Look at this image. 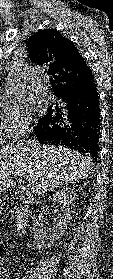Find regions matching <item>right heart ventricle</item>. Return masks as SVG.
<instances>
[{"instance_id":"e07e8e85","label":"right heart ventricle","mask_w":113,"mask_h":279,"mask_svg":"<svg viewBox=\"0 0 113 279\" xmlns=\"http://www.w3.org/2000/svg\"><path fill=\"white\" fill-rule=\"evenodd\" d=\"M2 127H1V124H0V143H1V141H2Z\"/></svg>"}]
</instances>
